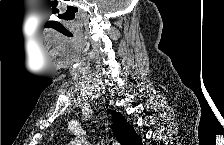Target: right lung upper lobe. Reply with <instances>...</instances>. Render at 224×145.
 Masks as SVG:
<instances>
[{"label": "right lung upper lobe", "instance_id": "1", "mask_svg": "<svg viewBox=\"0 0 224 145\" xmlns=\"http://www.w3.org/2000/svg\"><path fill=\"white\" fill-rule=\"evenodd\" d=\"M112 114L113 125L112 131L116 139L121 145H138L140 138L137 136L133 127L126 121V119L118 112L110 110Z\"/></svg>", "mask_w": 224, "mask_h": 145}]
</instances>
